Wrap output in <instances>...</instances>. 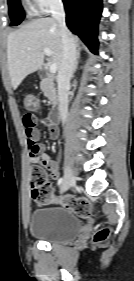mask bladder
Instances as JSON below:
<instances>
[{"label":"bladder","mask_w":134,"mask_h":281,"mask_svg":"<svg viewBox=\"0 0 134 281\" xmlns=\"http://www.w3.org/2000/svg\"><path fill=\"white\" fill-rule=\"evenodd\" d=\"M83 227L82 219L66 207L36 209L29 223L32 236L49 243L71 241L81 234Z\"/></svg>","instance_id":"31cf9c89"}]
</instances>
